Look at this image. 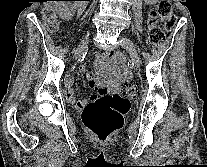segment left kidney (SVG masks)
Instances as JSON below:
<instances>
[{
	"mask_svg": "<svg viewBox=\"0 0 207 167\" xmlns=\"http://www.w3.org/2000/svg\"><path fill=\"white\" fill-rule=\"evenodd\" d=\"M144 1L147 3H154L155 2V0H144Z\"/></svg>",
	"mask_w": 207,
	"mask_h": 167,
	"instance_id": "1",
	"label": "left kidney"
}]
</instances>
